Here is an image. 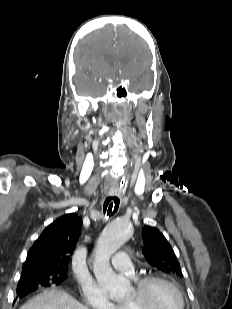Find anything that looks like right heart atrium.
Masks as SVG:
<instances>
[{"mask_svg": "<svg viewBox=\"0 0 232 309\" xmlns=\"http://www.w3.org/2000/svg\"><path fill=\"white\" fill-rule=\"evenodd\" d=\"M82 296L85 304L91 309H115V304L106 292L94 283L82 285Z\"/></svg>", "mask_w": 232, "mask_h": 309, "instance_id": "right-heart-atrium-1", "label": "right heart atrium"}]
</instances>
